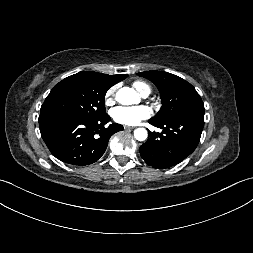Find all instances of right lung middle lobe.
Segmentation results:
<instances>
[{
  "label": "right lung middle lobe",
  "instance_id": "1",
  "mask_svg": "<svg viewBox=\"0 0 253 253\" xmlns=\"http://www.w3.org/2000/svg\"><path fill=\"white\" fill-rule=\"evenodd\" d=\"M111 86L101 73L94 71L71 75L53 87L41 106L40 116L101 117L105 114V94Z\"/></svg>",
  "mask_w": 253,
  "mask_h": 253
}]
</instances>
